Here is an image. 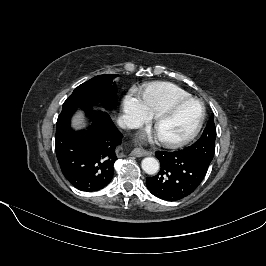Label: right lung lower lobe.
<instances>
[{
	"label": "right lung lower lobe",
	"instance_id": "obj_1",
	"mask_svg": "<svg viewBox=\"0 0 266 266\" xmlns=\"http://www.w3.org/2000/svg\"><path fill=\"white\" fill-rule=\"evenodd\" d=\"M75 109H63L57 119L56 156L65 178L82 191H98L113 178L116 149L123 135L107 113L85 110L92 120L87 131H74Z\"/></svg>",
	"mask_w": 266,
	"mask_h": 266
}]
</instances>
